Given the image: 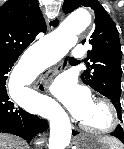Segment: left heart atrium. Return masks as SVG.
I'll use <instances>...</instances> for the list:
<instances>
[{
    "label": "left heart atrium",
    "mask_w": 124,
    "mask_h": 149,
    "mask_svg": "<svg viewBox=\"0 0 124 149\" xmlns=\"http://www.w3.org/2000/svg\"><path fill=\"white\" fill-rule=\"evenodd\" d=\"M53 96L77 120L82 121L93 105L90 91L68 74L59 75L50 84Z\"/></svg>",
    "instance_id": "left-heart-atrium-1"
}]
</instances>
